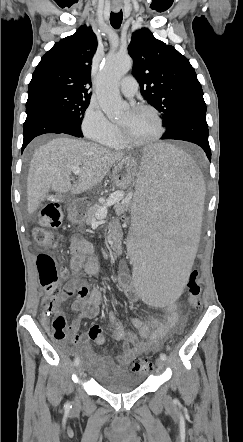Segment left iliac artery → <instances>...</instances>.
I'll return each mask as SVG.
<instances>
[{
	"label": "left iliac artery",
	"instance_id": "obj_1",
	"mask_svg": "<svg viewBox=\"0 0 243 442\" xmlns=\"http://www.w3.org/2000/svg\"><path fill=\"white\" fill-rule=\"evenodd\" d=\"M160 358H161L162 360H166V359H167L166 354H165V353H161V354H160Z\"/></svg>",
	"mask_w": 243,
	"mask_h": 442
}]
</instances>
